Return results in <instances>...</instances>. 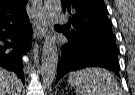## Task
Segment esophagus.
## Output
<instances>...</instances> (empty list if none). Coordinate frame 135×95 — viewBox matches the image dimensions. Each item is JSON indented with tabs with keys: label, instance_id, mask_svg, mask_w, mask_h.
Here are the masks:
<instances>
[{
	"label": "esophagus",
	"instance_id": "obj_1",
	"mask_svg": "<svg viewBox=\"0 0 135 95\" xmlns=\"http://www.w3.org/2000/svg\"><path fill=\"white\" fill-rule=\"evenodd\" d=\"M32 8L35 18L34 38L41 39L45 36L46 33V24L44 20L42 2L40 0H32Z\"/></svg>",
	"mask_w": 135,
	"mask_h": 95
}]
</instances>
